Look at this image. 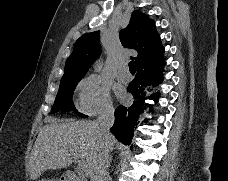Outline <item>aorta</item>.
I'll use <instances>...</instances> for the list:
<instances>
[{
	"label": "aorta",
	"instance_id": "762f6f07",
	"mask_svg": "<svg viewBox=\"0 0 228 181\" xmlns=\"http://www.w3.org/2000/svg\"><path fill=\"white\" fill-rule=\"evenodd\" d=\"M100 69H101V66H99L98 68H96V71H100Z\"/></svg>",
	"mask_w": 228,
	"mask_h": 181
}]
</instances>
